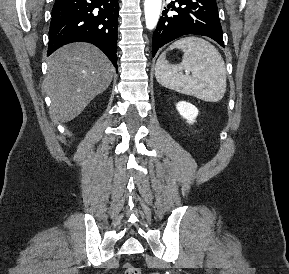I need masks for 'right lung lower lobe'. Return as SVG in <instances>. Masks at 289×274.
Here are the masks:
<instances>
[{
  "mask_svg": "<svg viewBox=\"0 0 289 274\" xmlns=\"http://www.w3.org/2000/svg\"><path fill=\"white\" fill-rule=\"evenodd\" d=\"M118 0H55L48 55L64 44L84 41L100 48L117 68Z\"/></svg>",
  "mask_w": 289,
  "mask_h": 274,
  "instance_id": "obj_1",
  "label": "right lung lower lobe"
}]
</instances>
